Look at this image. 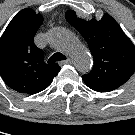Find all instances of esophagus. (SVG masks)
<instances>
[{"label": "esophagus", "mask_w": 135, "mask_h": 135, "mask_svg": "<svg viewBox=\"0 0 135 135\" xmlns=\"http://www.w3.org/2000/svg\"><path fill=\"white\" fill-rule=\"evenodd\" d=\"M71 63H72V59L71 58H67L65 61H61L60 65L71 64Z\"/></svg>", "instance_id": "34e87169"}]
</instances>
